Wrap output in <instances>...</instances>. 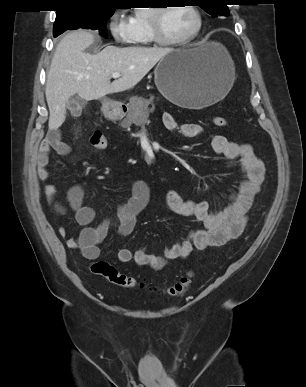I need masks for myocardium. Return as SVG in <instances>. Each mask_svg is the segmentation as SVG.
<instances>
[{"instance_id":"1","label":"myocardium","mask_w":306,"mask_h":387,"mask_svg":"<svg viewBox=\"0 0 306 387\" xmlns=\"http://www.w3.org/2000/svg\"><path fill=\"white\" fill-rule=\"evenodd\" d=\"M186 7L194 14L196 24L194 29L186 37L181 39H168L164 36L162 32V15L169 7H156L149 12L148 24L153 42L161 46H181L192 42L199 35L203 26L202 14L198 7H196L195 5L189 4L186 5Z\"/></svg>"}]
</instances>
